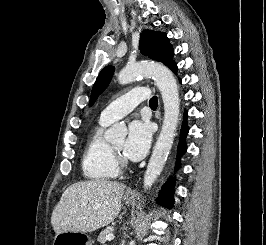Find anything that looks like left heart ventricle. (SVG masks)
<instances>
[{
	"instance_id": "obj_1",
	"label": "left heart ventricle",
	"mask_w": 266,
	"mask_h": 245,
	"mask_svg": "<svg viewBox=\"0 0 266 245\" xmlns=\"http://www.w3.org/2000/svg\"><path fill=\"white\" fill-rule=\"evenodd\" d=\"M112 147L118 151L119 153L122 151V147H123V139L118 140L114 143H111Z\"/></svg>"
}]
</instances>
